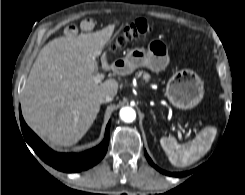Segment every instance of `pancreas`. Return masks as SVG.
Here are the masks:
<instances>
[{
	"label": "pancreas",
	"mask_w": 245,
	"mask_h": 195,
	"mask_svg": "<svg viewBox=\"0 0 245 195\" xmlns=\"http://www.w3.org/2000/svg\"><path fill=\"white\" fill-rule=\"evenodd\" d=\"M138 75H143L144 79L147 80V81L150 78L149 74L148 73H145L143 71L138 72Z\"/></svg>",
	"instance_id": "1"
}]
</instances>
